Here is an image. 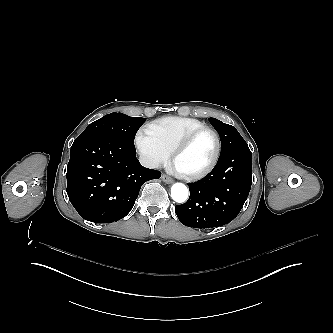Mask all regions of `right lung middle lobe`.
Segmentation results:
<instances>
[{
    "label": "right lung middle lobe",
    "mask_w": 333,
    "mask_h": 333,
    "mask_svg": "<svg viewBox=\"0 0 333 333\" xmlns=\"http://www.w3.org/2000/svg\"><path fill=\"white\" fill-rule=\"evenodd\" d=\"M145 120V118L129 117L122 113H111L91 123L81 136L100 133L135 148V135Z\"/></svg>",
    "instance_id": "dd1d6c3e"
}]
</instances>
